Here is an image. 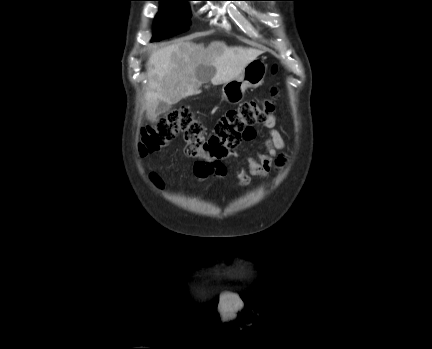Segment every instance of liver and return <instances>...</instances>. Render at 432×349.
I'll use <instances>...</instances> for the list:
<instances>
[{
  "instance_id": "liver-1",
  "label": "liver",
  "mask_w": 432,
  "mask_h": 349,
  "mask_svg": "<svg viewBox=\"0 0 432 349\" xmlns=\"http://www.w3.org/2000/svg\"><path fill=\"white\" fill-rule=\"evenodd\" d=\"M261 53L254 48L229 47L222 41H213L207 47L186 41L154 50L147 63L148 118L156 120V107L160 101L171 105L200 93L205 81L201 67L214 69L213 85L224 84L238 77Z\"/></svg>"
}]
</instances>
